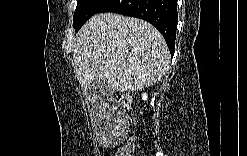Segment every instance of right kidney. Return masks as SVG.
Returning <instances> with one entry per match:
<instances>
[{"label": "right kidney", "mask_w": 247, "mask_h": 156, "mask_svg": "<svg viewBox=\"0 0 247 156\" xmlns=\"http://www.w3.org/2000/svg\"><path fill=\"white\" fill-rule=\"evenodd\" d=\"M147 97H148L147 93H143V94H142V99H143V100L146 101V100H147Z\"/></svg>", "instance_id": "ca27d5eb"}]
</instances>
